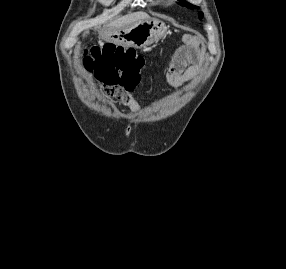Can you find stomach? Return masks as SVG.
I'll list each match as a JSON object with an SVG mask.
<instances>
[{
	"label": "stomach",
	"instance_id": "1",
	"mask_svg": "<svg viewBox=\"0 0 286 269\" xmlns=\"http://www.w3.org/2000/svg\"><path fill=\"white\" fill-rule=\"evenodd\" d=\"M166 26L158 20H142L125 28L121 33L111 35L108 41L135 48H144L157 43L166 35Z\"/></svg>",
	"mask_w": 286,
	"mask_h": 269
}]
</instances>
